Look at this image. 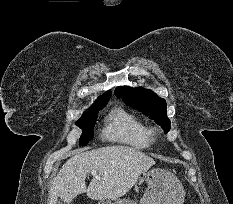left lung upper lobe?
I'll use <instances>...</instances> for the list:
<instances>
[{"label": "left lung upper lobe", "mask_w": 233, "mask_h": 204, "mask_svg": "<svg viewBox=\"0 0 233 204\" xmlns=\"http://www.w3.org/2000/svg\"><path fill=\"white\" fill-rule=\"evenodd\" d=\"M115 95L123 101L146 115L162 126L165 132L170 130V120L167 117L166 102L151 90L143 88L117 87Z\"/></svg>", "instance_id": "left-lung-upper-lobe-1"}]
</instances>
